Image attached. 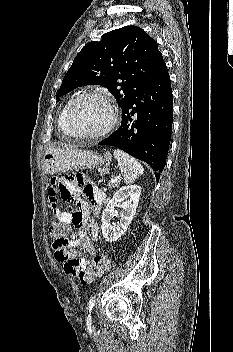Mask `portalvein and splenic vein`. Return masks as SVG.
<instances>
[{
    "label": "portal vein and splenic vein",
    "instance_id": "18ae733b",
    "mask_svg": "<svg viewBox=\"0 0 233 352\" xmlns=\"http://www.w3.org/2000/svg\"><path fill=\"white\" fill-rule=\"evenodd\" d=\"M116 181H117V178H115V177L111 178V182H116Z\"/></svg>",
    "mask_w": 233,
    "mask_h": 352
}]
</instances>
